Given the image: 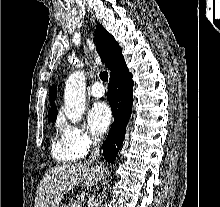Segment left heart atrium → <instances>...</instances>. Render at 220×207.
I'll return each mask as SVG.
<instances>
[{"label": "left heart atrium", "mask_w": 220, "mask_h": 207, "mask_svg": "<svg viewBox=\"0 0 220 207\" xmlns=\"http://www.w3.org/2000/svg\"><path fill=\"white\" fill-rule=\"evenodd\" d=\"M111 120L112 112L108 105L102 102L96 103L88 114L89 128L97 135H102L108 130Z\"/></svg>", "instance_id": "1"}]
</instances>
